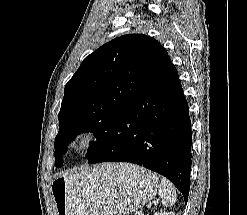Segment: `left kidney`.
Segmentation results:
<instances>
[{
  "label": "left kidney",
  "instance_id": "5707ae66",
  "mask_svg": "<svg viewBox=\"0 0 247 215\" xmlns=\"http://www.w3.org/2000/svg\"><path fill=\"white\" fill-rule=\"evenodd\" d=\"M154 215H175L174 212H159V213H155Z\"/></svg>",
  "mask_w": 247,
  "mask_h": 215
}]
</instances>
